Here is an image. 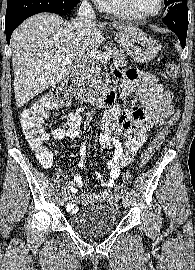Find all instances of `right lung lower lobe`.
<instances>
[{"label": "right lung lower lobe", "instance_id": "1", "mask_svg": "<svg viewBox=\"0 0 195 270\" xmlns=\"http://www.w3.org/2000/svg\"><path fill=\"white\" fill-rule=\"evenodd\" d=\"M76 5L80 0H72ZM59 0H8L5 32L9 45L11 34L26 18L41 12L55 13ZM57 14V13H56Z\"/></svg>", "mask_w": 195, "mask_h": 270}]
</instances>
